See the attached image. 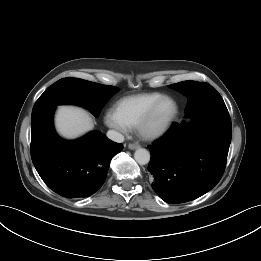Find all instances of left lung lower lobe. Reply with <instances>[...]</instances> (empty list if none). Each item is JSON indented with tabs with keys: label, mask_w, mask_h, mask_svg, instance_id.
I'll return each instance as SVG.
<instances>
[{
	"label": "left lung lower lobe",
	"mask_w": 261,
	"mask_h": 261,
	"mask_svg": "<svg viewBox=\"0 0 261 261\" xmlns=\"http://www.w3.org/2000/svg\"><path fill=\"white\" fill-rule=\"evenodd\" d=\"M230 142L228 112L199 115L186 124L174 123L148 146L152 188L171 204L202 196L220 181Z\"/></svg>",
	"instance_id": "0a47b994"
}]
</instances>
